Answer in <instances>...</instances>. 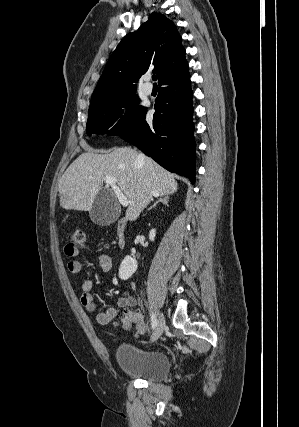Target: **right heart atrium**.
<instances>
[{
  "instance_id": "1",
  "label": "right heart atrium",
  "mask_w": 299,
  "mask_h": 427,
  "mask_svg": "<svg viewBox=\"0 0 299 427\" xmlns=\"http://www.w3.org/2000/svg\"><path fill=\"white\" fill-rule=\"evenodd\" d=\"M129 114V107L126 104L120 105L115 114V122L117 124H122L128 117Z\"/></svg>"
}]
</instances>
